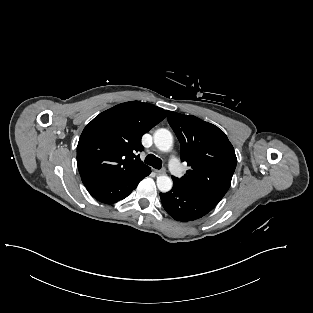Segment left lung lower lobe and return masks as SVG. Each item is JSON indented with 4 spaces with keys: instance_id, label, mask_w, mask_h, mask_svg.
Masks as SVG:
<instances>
[{
    "instance_id": "1",
    "label": "left lung lower lobe",
    "mask_w": 313,
    "mask_h": 313,
    "mask_svg": "<svg viewBox=\"0 0 313 313\" xmlns=\"http://www.w3.org/2000/svg\"><path fill=\"white\" fill-rule=\"evenodd\" d=\"M173 182V188L167 193H160V197L164 209L175 220H196L210 212L219 203L187 191L178 182Z\"/></svg>"
}]
</instances>
